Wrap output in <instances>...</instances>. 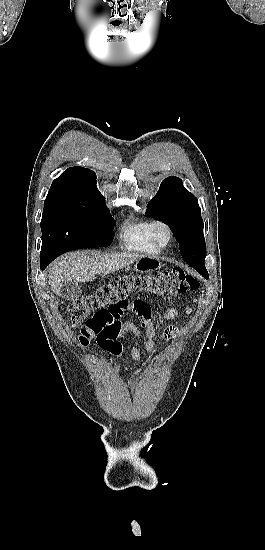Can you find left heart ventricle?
Here are the masks:
<instances>
[{
    "mask_svg": "<svg viewBox=\"0 0 265 550\" xmlns=\"http://www.w3.org/2000/svg\"><path fill=\"white\" fill-rule=\"evenodd\" d=\"M158 237H159L160 241H162V242H166V240H167V235L164 231H160L159 234H158Z\"/></svg>",
    "mask_w": 265,
    "mask_h": 550,
    "instance_id": "1",
    "label": "left heart ventricle"
}]
</instances>
